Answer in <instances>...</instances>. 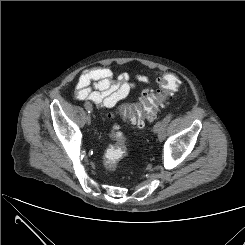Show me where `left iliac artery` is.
<instances>
[{
    "instance_id": "44dca946",
    "label": "left iliac artery",
    "mask_w": 245,
    "mask_h": 245,
    "mask_svg": "<svg viewBox=\"0 0 245 245\" xmlns=\"http://www.w3.org/2000/svg\"><path fill=\"white\" fill-rule=\"evenodd\" d=\"M173 118L172 114H168L164 119H163V124L160 127V132L162 134L163 137H165V132H166V127L168 125V123L171 121V119Z\"/></svg>"
}]
</instances>
